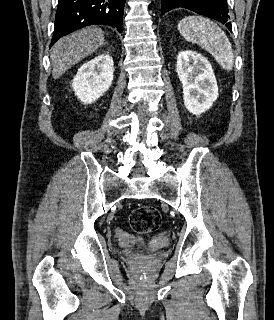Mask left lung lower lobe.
Returning <instances> with one entry per match:
<instances>
[{
  "instance_id": "0a47b994",
  "label": "left lung lower lobe",
  "mask_w": 274,
  "mask_h": 320,
  "mask_svg": "<svg viewBox=\"0 0 274 320\" xmlns=\"http://www.w3.org/2000/svg\"><path fill=\"white\" fill-rule=\"evenodd\" d=\"M175 8H186L215 19L231 30L227 0H162L161 15Z\"/></svg>"
}]
</instances>
